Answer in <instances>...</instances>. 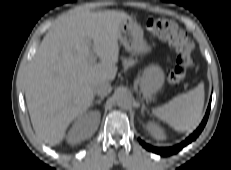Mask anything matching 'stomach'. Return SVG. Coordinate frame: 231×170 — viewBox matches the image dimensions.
<instances>
[{
    "label": "stomach",
    "instance_id": "1",
    "mask_svg": "<svg viewBox=\"0 0 231 170\" xmlns=\"http://www.w3.org/2000/svg\"><path fill=\"white\" fill-rule=\"evenodd\" d=\"M119 40L127 51L135 55H143L150 51L149 45L143 39V31L140 25L131 18L120 24ZM162 82L163 73L161 68L157 65H149L144 69L140 79L141 90L145 94H150Z\"/></svg>",
    "mask_w": 231,
    "mask_h": 170
}]
</instances>
